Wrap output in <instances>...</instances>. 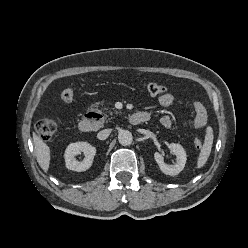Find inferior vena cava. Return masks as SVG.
I'll list each match as a JSON object with an SVG mask.
<instances>
[{"label":"inferior vena cava","instance_id":"602c4592","mask_svg":"<svg viewBox=\"0 0 248 248\" xmlns=\"http://www.w3.org/2000/svg\"><path fill=\"white\" fill-rule=\"evenodd\" d=\"M111 129H104L97 134V138L100 140H105L111 133Z\"/></svg>","mask_w":248,"mask_h":248}]
</instances>
